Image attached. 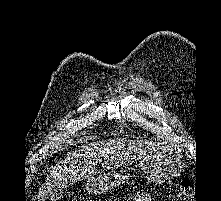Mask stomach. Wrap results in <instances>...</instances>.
<instances>
[{"label":"stomach","mask_w":221,"mask_h":201,"mask_svg":"<svg viewBox=\"0 0 221 201\" xmlns=\"http://www.w3.org/2000/svg\"><path fill=\"white\" fill-rule=\"evenodd\" d=\"M184 168V160L180 153L167 149H159L144 156L140 169L142 176L149 182L163 184L178 177ZM127 170L93 176L85 184L89 194L97 195L113 189L129 180Z\"/></svg>","instance_id":"0dacf381"}]
</instances>
